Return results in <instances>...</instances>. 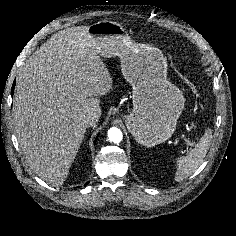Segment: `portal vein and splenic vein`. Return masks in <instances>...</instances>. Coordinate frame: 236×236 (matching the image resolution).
<instances>
[{"mask_svg":"<svg viewBox=\"0 0 236 236\" xmlns=\"http://www.w3.org/2000/svg\"><path fill=\"white\" fill-rule=\"evenodd\" d=\"M189 146L193 147L194 146V143L191 142L190 140H188L186 137L182 136L181 137Z\"/></svg>","mask_w":236,"mask_h":236,"instance_id":"18ae733b","label":"portal vein and splenic vein"}]
</instances>
